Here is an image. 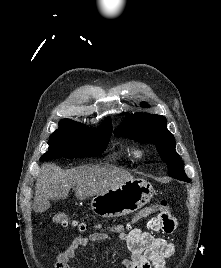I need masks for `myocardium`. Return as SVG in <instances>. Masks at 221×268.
I'll use <instances>...</instances> for the list:
<instances>
[{
	"mask_svg": "<svg viewBox=\"0 0 221 268\" xmlns=\"http://www.w3.org/2000/svg\"><path fill=\"white\" fill-rule=\"evenodd\" d=\"M134 155L136 157L140 158L143 155V152H142V150L137 149V150L134 151Z\"/></svg>",
	"mask_w": 221,
	"mask_h": 268,
	"instance_id": "obj_1",
	"label": "myocardium"
}]
</instances>
